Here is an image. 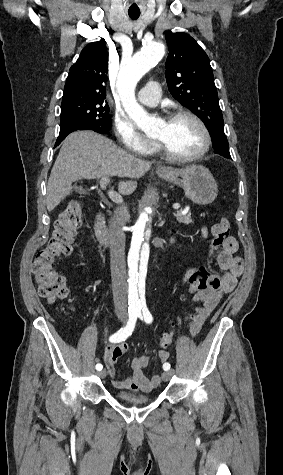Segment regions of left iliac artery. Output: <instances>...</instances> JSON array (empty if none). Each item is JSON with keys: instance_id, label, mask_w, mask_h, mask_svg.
<instances>
[{"instance_id": "44dca946", "label": "left iliac artery", "mask_w": 283, "mask_h": 475, "mask_svg": "<svg viewBox=\"0 0 283 475\" xmlns=\"http://www.w3.org/2000/svg\"><path fill=\"white\" fill-rule=\"evenodd\" d=\"M137 314H138V317H139L140 319H143V318H144V320H145L146 323H151L152 320H153V317H152V315H151V313L149 312V310H148L147 307L143 308V309H142V312H138ZM163 369H164L165 371H168V370L170 369V364H169V363H165V364L163 365Z\"/></svg>"}]
</instances>
